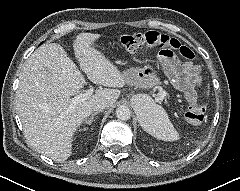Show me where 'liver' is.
<instances>
[{
  "label": "liver",
  "mask_w": 240,
  "mask_h": 191,
  "mask_svg": "<svg viewBox=\"0 0 240 191\" xmlns=\"http://www.w3.org/2000/svg\"><path fill=\"white\" fill-rule=\"evenodd\" d=\"M99 34L81 33L73 41L75 57L88 79L111 88L126 83L122 73L94 48ZM16 92V109L28 143L54 161L67 160L72 138L92 113L96 101L112 106L120 90L99 88L94 95L70 108V96L85 85V78L63 47L56 43L41 46L24 64Z\"/></svg>",
  "instance_id": "liver-1"
}]
</instances>
